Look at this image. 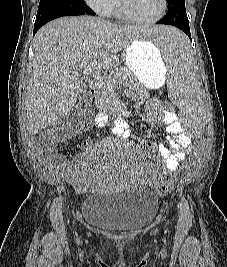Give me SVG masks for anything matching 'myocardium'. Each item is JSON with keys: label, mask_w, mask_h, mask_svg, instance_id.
<instances>
[{"label": "myocardium", "mask_w": 227, "mask_h": 267, "mask_svg": "<svg viewBox=\"0 0 227 267\" xmlns=\"http://www.w3.org/2000/svg\"><path fill=\"white\" fill-rule=\"evenodd\" d=\"M167 0H161V10L155 17L151 19H141L134 15H132L126 8L124 0H117V10L119 15L125 19L126 21H129L131 23H137V24H152L156 23L159 20H161L167 11Z\"/></svg>", "instance_id": "myocardium-1"}]
</instances>
